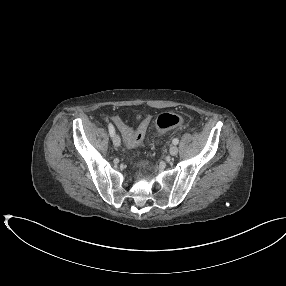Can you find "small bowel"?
<instances>
[{"instance_id": "c3829d8e", "label": "small bowel", "mask_w": 286, "mask_h": 286, "mask_svg": "<svg viewBox=\"0 0 286 286\" xmlns=\"http://www.w3.org/2000/svg\"><path fill=\"white\" fill-rule=\"evenodd\" d=\"M112 121L115 123V125L118 127V129L121 131L124 139L134 133V130L131 126L126 124L119 116H113ZM150 117L144 119L141 123H147L149 125Z\"/></svg>"}]
</instances>
